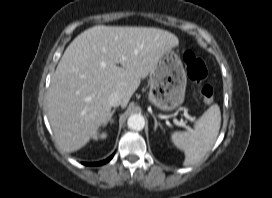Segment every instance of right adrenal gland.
<instances>
[{
	"mask_svg": "<svg viewBox=\"0 0 272 198\" xmlns=\"http://www.w3.org/2000/svg\"><path fill=\"white\" fill-rule=\"evenodd\" d=\"M116 112V110H112L111 113H110V117L108 118L107 120V123L108 124L110 122V124H112L114 122V120L112 119V116L114 115V113Z\"/></svg>",
	"mask_w": 272,
	"mask_h": 198,
	"instance_id": "1",
	"label": "right adrenal gland"
}]
</instances>
